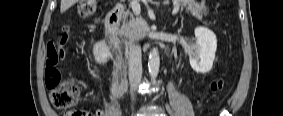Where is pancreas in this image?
<instances>
[{
  "mask_svg": "<svg viewBox=\"0 0 283 116\" xmlns=\"http://www.w3.org/2000/svg\"><path fill=\"white\" fill-rule=\"evenodd\" d=\"M181 2V0H176L177 4H180ZM187 10L191 12L192 16L199 19L202 18L203 15L207 14V9L196 3L189 5ZM139 22L140 20L138 18H135L130 13H126L122 26L116 29L114 33L115 35L126 39L137 37L141 33Z\"/></svg>",
  "mask_w": 283,
  "mask_h": 116,
  "instance_id": "1",
  "label": "pancreas"
}]
</instances>
